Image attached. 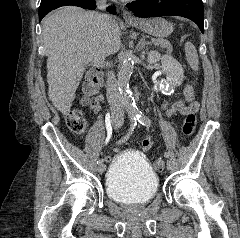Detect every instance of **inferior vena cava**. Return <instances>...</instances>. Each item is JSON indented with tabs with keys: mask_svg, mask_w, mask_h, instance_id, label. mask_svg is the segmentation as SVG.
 Listing matches in <instances>:
<instances>
[{
	"mask_svg": "<svg viewBox=\"0 0 240 238\" xmlns=\"http://www.w3.org/2000/svg\"><path fill=\"white\" fill-rule=\"evenodd\" d=\"M97 8L105 10L107 7V0H96ZM94 18L101 24H109L113 18L107 14L95 13ZM107 99L111 107L112 117L123 122L124 120V103L119 92L118 81L113 71L107 73Z\"/></svg>",
	"mask_w": 240,
	"mask_h": 238,
	"instance_id": "obj_1",
	"label": "inferior vena cava"
}]
</instances>
